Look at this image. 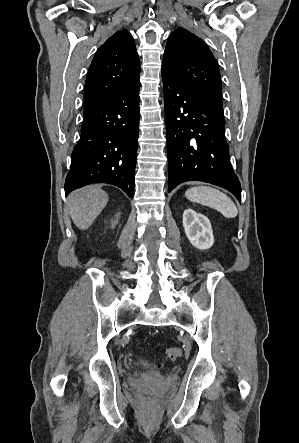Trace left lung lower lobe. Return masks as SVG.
I'll return each mask as SVG.
<instances>
[{"label": "left lung lower lobe", "instance_id": "1", "mask_svg": "<svg viewBox=\"0 0 299 443\" xmlns=\"http://www.w3.org/2000/svg\"><path fill=\"white\" fill-rule=\"evenodd\" d=\"M169 161V187L198 180L230 191L239 201L240 182L229 161L223 109L162 72Z\"/></svg>", "mask_w": 299, "mask_h": 443}]
</instances>
